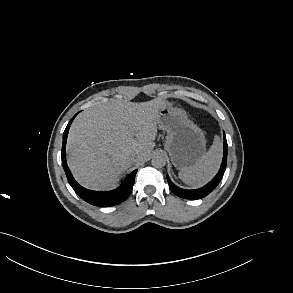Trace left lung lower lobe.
<instances>
[{
  "label": "left lung lower lobe",
  "mask_w": 293,
  "mask_h": 293,
  "mask_svg": "<svg viewBox=\"0 0 293 293\" xmlns=\"http://www.w3.org/2000/svg\"><path fill=\"white\" fill-rule=\"evenodd\" d=\"M227 149H228V145H227V141H226V137L224 133L223 160L217 175L204 187L195 189V190H185V189L179 188L175 184H173L171 180L169 179V177L167 176L168 184L172 192L176 194L177 196L181 198H185V199H200L208 195L211 191H213L216 188V186L219 184V182L221 181L223 177V174L226 169V164H227Z\"/></svg>",
  "instance_id": "left-lung-lower-lobe-1"
}]
</instances>
